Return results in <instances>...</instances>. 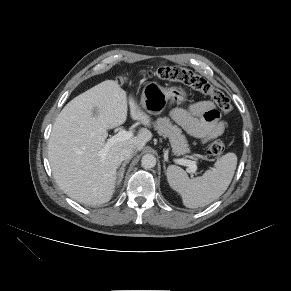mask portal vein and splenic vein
<instances>
[{"label": "portal vein and splenic vein", "instance_id": "portal-vein-and-splenic-vein-1", "mask_svg": "<svg viewBox=\"0 0 291 291\" xmlns=\"http://www.w3.org/2000/svg\"><path fill=\"white\" fill-rule=\"evenodd\" d=\"M133 136L131 131H127L125 129L120 130L116 135L107 139L106 145L100 151L101 156H105L109 149L116 143H119L124 140H128ZM177 164L187 166L192 173H196L197 165L194 161L187 160V159H177L175 160Z\"/></svg>", "mask_w": 291, "mask_h": 291}]
</instances>
